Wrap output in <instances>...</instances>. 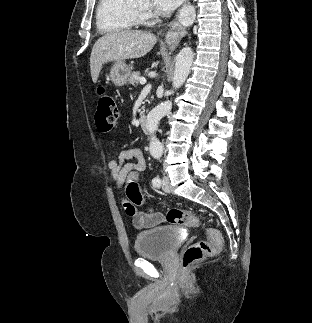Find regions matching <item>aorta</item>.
<instances>
[{"mask_svg": "<svg viewBox=\"0 0 312 323\" xmlns=\"http://www.w3.org/2000/svg\"><path fill=\"white\" fill-rule=\"evenodd\" d=\"M193 58L194 54L192 52V48H183V50H180L175 64L173 78L174 90H176V88H181L184 82H186L190 74ZM170 110H172V102L167 100V102H163V104H160V106H157V108L151 110L147 116L145 126L147 132H149L151 136L149 144L151 154H158V156H160V154L163 152V146L161 142H159L158 138H156L155 134L158 130V124L161 118H164V116H166Z\"/></svg>", "mask_w": 312, "mask_h": 323, "instance_id": "1", "label": "aorta"}]
</instances>
